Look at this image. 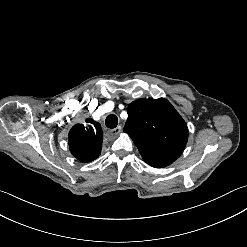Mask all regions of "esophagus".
I'll use <instances>...</instances> for the list:
<instances>
[{
  "instance_id": "34e87169",
  "label": "esophagus",
  "mask_w": 247,
  "mask_h": 247,
  "mask_svg": "<svg viewBox=\"0 0 247 247\" xmlns=\"http://www.w3.org/2000/svg\"><path fill=\"white\" fill-rule=\"evenodd\" d=\"M121 128H122L121 125H119L116 128L112 129L111 133L114 134V135H117L121 131Z\"/></svg>"
}]
</instances>
